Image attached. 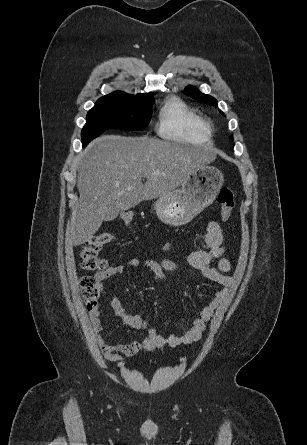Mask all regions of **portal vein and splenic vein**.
I'll use <instances>...</instances> for the list:
<instances>
[{"label": "portal vein and splenic vein", "mask_w": 307, "mask_h": 445, "mask_svg": "<svg viewBox=\"0 0 307 445\" xmlns=\"http://www.w3.org/2000/svg\"><path fill=\"white\" fill-rule=\"evenodd\" d=\"M152 174H165V172H160V170H156V172H152Z\"/></svg>", "instance_id": "18ae733b"}]
</instances>
